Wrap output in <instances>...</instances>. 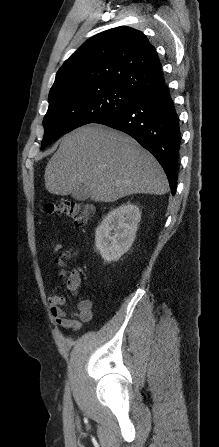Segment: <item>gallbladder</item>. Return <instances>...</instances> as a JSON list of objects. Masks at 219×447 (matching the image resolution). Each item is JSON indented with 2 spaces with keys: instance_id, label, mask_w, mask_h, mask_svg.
<instances>
[{
  "instance_id": "bac80fb5",
  "label": "gallbladder",
  "mask_w": 219,
  "mask_h": 447,
  "mask_svg": "<svg viewBox=\"0 0 219 447\" xmlns=\"http://www.w3.org/2000/svg\"><path fill=\"white\" fill-rule=\"evenodd\" d=\"M71 196L78 201H85L89 198V194L83 184H81L77 189H74Z\"/></svg>"
}]
</instances>
